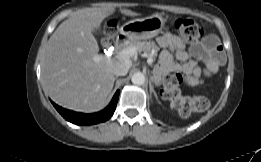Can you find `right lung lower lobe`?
<instances>
[{"mask_svg":"<svg viewBox=\"0 0 261 162\" xmlns=\"http://www.w3.org/2000/svg\"><path fill=\"white\" fill-rule=\"evenodd\" d=\"M120 91L117 90L115 95L113 96L110 104L102 111L92 114H84L79 112H74L71 110L64 109L54 102H52L53 106L56 110L69 122L76 125H92L100 122H105L108 120L114 113L116 104L118 101Z\"/></svg>","mask_w":261,"mask_h":162,"instance_id":"right-lung-lower-lobe-1","label":"right lung lower lobe"}]
</instances>
